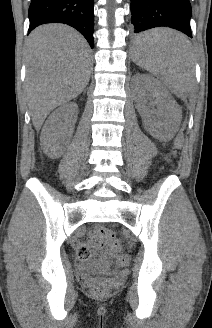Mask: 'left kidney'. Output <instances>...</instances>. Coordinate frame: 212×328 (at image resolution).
<instances>
[{
	"label": "left kidney",
	"mask_w": 212,
	"mask_h": 328,
	"mask_svg": "<svg viewBox=\"0 0 212 328\" xmlns=\"http://www.w3.org/2000/svg\"><path fill=\"white\" fill-rule=\"evenodd\" d=\"M149 93L156 98L161 121L151 119V111L146 107L143 96ZM136 108L144 116L145 128L160 140H170L177 132L181 121V109L170 93L153 77L139 74L136 76Z\"/></svg>",
	"instance_id": "1"
}]
</instances>
